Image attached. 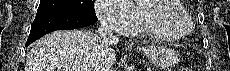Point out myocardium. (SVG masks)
<instances>
[{"instance_id": "myocardium-1", "label": "myocardium", "mask_w": 230, "mask_h": 71, "mask_svg": "<svg viewBox=\"0 0 230 71\" xmlns=\"http://www.w3.org/2000/svg\"><path fill=\"white\" fill-rule=\"evenodd\" d=\"M142 20L145 25L157 36L165 39L180 40L189 36L194 23L188 11L182 6L179 0H146L140 4ZM172 16L182 23L183 30L178 31L166 27L156 14Z\"/></svg>"}]
</instances>
